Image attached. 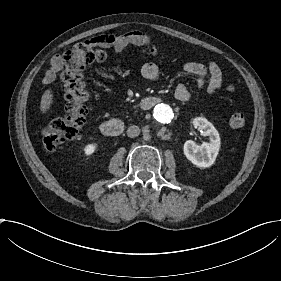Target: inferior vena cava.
<instances>
[{
  "mask_svg": "<svg viewBox=\"0 0 281 281\" xmlns=\"http://www.w3.org/2000/svg\"><path fill=\"white\" fill-rule=\"evenodd\" d=\"M140 134V128L136 125L130 126L127 129V136L130 138H135Z\"/></svg>",
  "mask_w": 281,
  "mask_h": 281,
  "instance_id": "inferior-vena-cava-1",
  "label": "inferior vena cava"
}]
</instances>
